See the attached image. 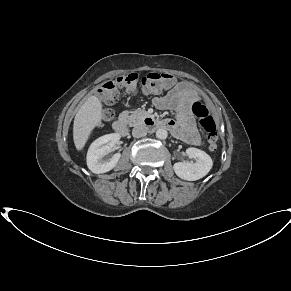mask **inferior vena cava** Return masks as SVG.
I'll list each match as a JSON object with an SVG mask.
<instances>
[{"label": "inferior vena cava", "mask_w": 291, "mask_h": 291, "mask_svg": "<svg viewBox=\"0 0 291 291\" xmlns=\"http://www.w3.org/2000/svg\"><path fill=\"white\" fill-rule=\"evenodd\" d=\"M132 135L135 138H141L147 135V128L144 125H139L133 128Z\"/></svg>", "instance_id": "obj_1"}]
</instances>
